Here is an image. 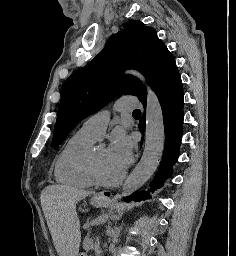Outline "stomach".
Here are the masks:
<instances>
[{
	"mask_svg": "<svg viewBox=\"0 0 236 256\" xmlns=\"http://www.w3.org/2000/svg\"><path fill=\"white\" fill-rule=\"evenodd\" d=\"M92 204H93L94 206H96V207H100V206H102V205L104 204V202H103V201L93 200V201H92ZM77 256H86V254H84V253H79V254H77Z\"/></svg>",
	"mask_w": 236,
	"mask_h": 256,
	"instance_id": "obj_1",
	"label": "stomach"
}]
</instances>
